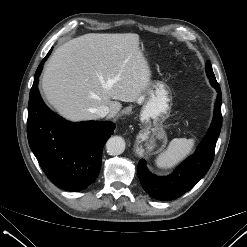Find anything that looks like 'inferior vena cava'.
<instances>
[{"label":"inferior vena cava","instance_id":"obj_1","mask_svg":"<svg viewBox=\"0 0 247 247\" xmlns=\"http://www.w3.org/2000/svg\"><path fill=\"white\" fill-rule=\"evenodd\" d=\"M110 112V108L106 105H100L99 107H97L95 109V113L99 116V117H105L106 115H108Z\"/></svg>","mask_w":247,"mask_h":247}]
</instances>
